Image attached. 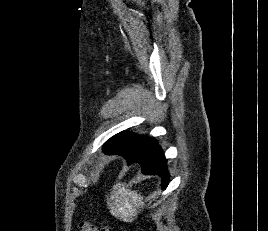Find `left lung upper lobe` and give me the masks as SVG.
Here are the masks:
<instances>
[{
  "label": "left lung upper lobe",
  "instance_id": "5c2ea615",
  "mask_svg": "<svg viewBox=\"0 0 268 231\" xmlns=\"http://www.w3.org/2000/svg\"><path fill=\"white\" fill-rule=\"evenodd\" d=\"M152 138L139 136L132 132H120L111 137L105 144L111 151H120L129 147L142 148L145 144L150 142Z\"/></svg>",
  "mask_w": 268,
  "mask_h": 231
}]
</instances>
